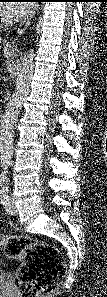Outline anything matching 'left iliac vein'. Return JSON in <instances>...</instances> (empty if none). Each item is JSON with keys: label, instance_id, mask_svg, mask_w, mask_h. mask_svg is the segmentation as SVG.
I'll return each instance as SVG.
<instances>
[{"label": "left iliac vein", "instance_id": "obj_1", "mask_svg": "<svg viewBox=\"0 0 107 297\" xmlns=\"http://www.w3.org/2000/svg\"><path fill=\"white\" fill-rule=\"evenodd\" d=\"M5 209L11 215H14L17 213V209H16L14 201L12 199L7 201V203L5 204Z\"/></svg>", "mask_w": 107, "mask_h": 297}]
</instances>
